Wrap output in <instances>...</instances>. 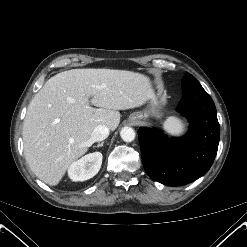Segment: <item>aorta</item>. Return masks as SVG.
<instances>
[{"label":"aorta","mask_w":247,"mask_h":247,"mask_svg":"<svg viewBox=\"0 0 247 247\" xmlns=\"http://www.w3.org/2000/svg\"><path fill=\"white\" fill-rule=\"evenodd\" d=\"M120 136L125 142H132L135 139V131L131 127H123L120 132Z\"/></svg>","instance_id":"1"}]
</instances>
